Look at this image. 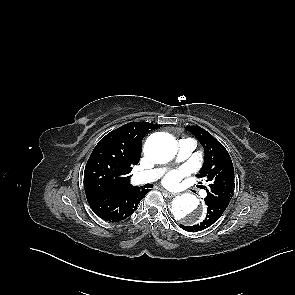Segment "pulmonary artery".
Returning <instances> with one entry per match:
<instances>
[{"label": "pulmonary artery", "mask_w": 295, "mask_h": 295, "mask_svg": "<svg viewBox=\"0 0 295 295\" xmlns=\"http://www.w3.org/2000/svg\"><path fill=\"white\" fill-rule=\"evenodd\" d=\"M195 146L196 144L193 139L191 138L181 139L178 144L177 160L178 161L186 160L195 149ZM163 172H164V169H153L149 171L140 172L134 176V180L137 184L151 183L159 179L160 176L163 174ZM201 196L205 197L206 192L202 191Z\"/></svg>", "instance_id": "1"}]
</instances>
